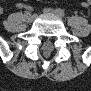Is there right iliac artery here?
Segmentation results:
<instances>
[{
    "mask_svg": "<svg viewBox=\"0 0 91 91\" xmlns=\"http://www.w3.org/2000/svg\"><path fill=\"white\" fill-rule=\"evenodd\" d=\"M26 14H30V13L26 11V12H25V15H26Z\"/></svg>",
    "mask_w": 91,
    "mask_h": 91,
    "instance_id": "82829eb1",
    "label": "right iliac artery"
}]
</instances>
